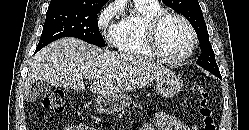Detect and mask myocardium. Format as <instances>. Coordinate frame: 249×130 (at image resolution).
<instances>
[{
  "mask_svg": "<svg viewBox=\"0 0 249 130\" xmlns=\"http://www.w3.org/2000/svg\"><path fill=\"white\" fill-rule=\"evenodd\" d=\"M169 18H176L180 20L188 29L191 43L186 51L181 56L174 57L167 54L160 45L159 33L163 23ZM146 39L148 46L154 55L169 63H182L188 60L194 53L198 45L197 33L192 25V23L182 14L175 11H162L161 13L153 16L147 23L146 26Z\"/></svg>",
  "mask_w": 249,
  "mask_h": 130,
  "instance_id": "f54148a6",
  "label": "myocardium"
}]
</instances>
